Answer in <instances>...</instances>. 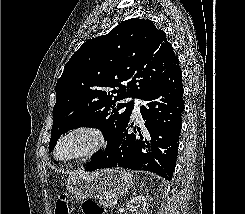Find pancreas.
Masks as SVG:
<instances>
[{
  "mask_svg": "<svg viewBox=\"0 0 245 214\" xmlns=\"http://www.w3.org/2000/svg\"><path fill=\"white\" fill-rule=\"evenodd\" d=\"M100 204L106 207H113L112 199H101Z\"/></svg>",
  "mask_w": 245,
  "mask_h": 214,
  "instance_id": "pancreas-1",
  "label": "pancreas"
}]
</instances>
